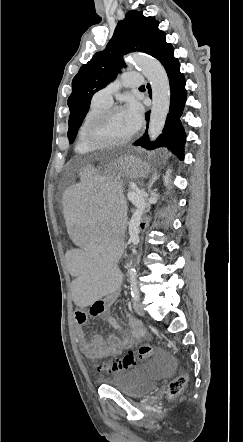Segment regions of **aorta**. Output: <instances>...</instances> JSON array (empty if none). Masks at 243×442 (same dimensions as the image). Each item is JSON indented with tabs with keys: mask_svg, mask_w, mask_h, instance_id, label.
<instances>
[{
	"mask_svg": "<svg viewBox=\"0 0 243 442\" xmlns=\"http://www.w3.org/2000/svg\"><path fill=\"white\" fill-rule=\"evenodd\" d=\"M148 79L152 89V109L148 135L154 141L162 133L170 107V85L167 73L159 61L147 55H136L131 58Z\"/></svg>",
	"mask_w": 243,
	"mask_h": 442,
	"instance_id": "obj_1",
	"label": "aorta"
}]
</instances>
